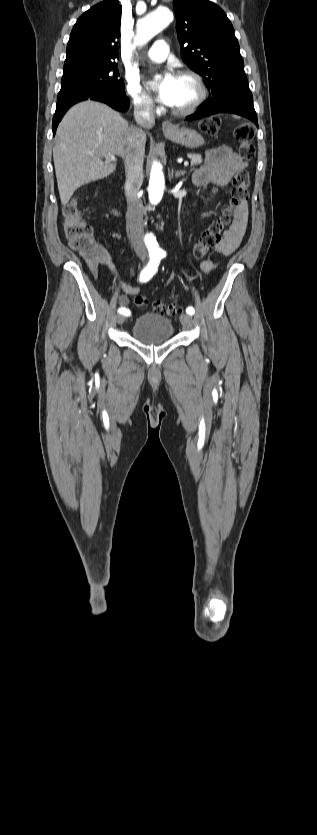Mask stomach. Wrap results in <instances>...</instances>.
Instances as JSON below:
<instances>
[{
  "mask_svg": "<svg viewBox=\"0 0 317 835\" xmlns=\"http://www.w3.org/2000/svg\"><path fill=\"white\" fill-rule=\"evenodd\" d=\"M164 135L174 143L188 148H198L204 144L203 137L195 130L187 127L176 126L171 132H164Z\"/></svg>",
  "mask_w": 317,
  "mask_h": 835,
  "instance_id": "stomach-1",
  "label": "stomach"
}]
</instances>
